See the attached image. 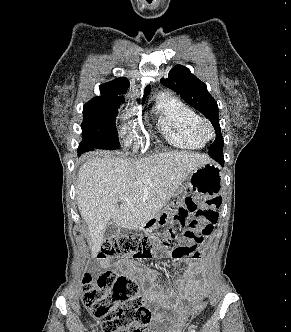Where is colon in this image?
Wrapping results in <instances>:
<instances>
[{
  "label": "colon",
  "instance_id": "1",
  "mask_svg": "<svg viewBox=\"0 0 291 332\" xmlns=\"http://www.w3.org/2000/svg\"><path fill=\"white\" fill-rule=\"evenodd\" d=\"M220 205L219 198H213L203 207L188 198L187 207L180 208L173 217V223L180 231V240L173 244L178 234L173 231L154 232L150 235H116L107 239L102 247L101 257L123 254L137 260H148L169 249L174 259L199 257L198 245L207 238L216 224ZM196 218L189 221V216ZM82 302L88 311L102 320L103 332H148L151 311L139 293L137 282L130 277L113 271H99L95 277L86 274L83 279ZM205 308L199 301L172 317L169 332H184L187 322Z\"/></svg>",
  "mask_w": 291,
  "mask_h": 332
}]
</instances>
